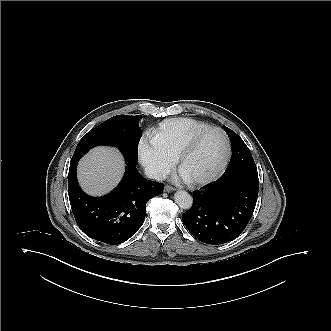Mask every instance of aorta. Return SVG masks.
Returning a JSON list of instances; mask_svg holds the SVG:
<instances>
[{"instance_id": "aorta-1", "label": "aorta", "mask_w": 331, "mask_h": 331, "mask_svg": "<svg viewBox=\"0 0 331 331\" xmlns=\"http://www.w3.org/2000/svg\"><path fill=\"white\" fill-rule=\"evenodd\" d=\"M174 200L181 209H190L193 204L192 196L186 191H177L174 194Z\"/></svg>"}]
</instances>
